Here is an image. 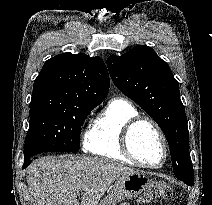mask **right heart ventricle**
<instances>
[{
    "instance_id": "right-heart-ventricle-1",
    "label": "right heart ventricle",
    "mask_w": 212,
    "mask_h": 205,
    "mask_svg": "<svg viewBox=\"0 0 212 205\" xmlns=\"http://www.w3.org/2000/svg\"><path fill=\"white\" fill-rule=\"evenodd\" d=\"M137 116L139 113L130 102L121 98L111 100L92 122L84 141L85 151L107 159L134 164L122 150L121 134L124 126Z\"/></svg>"
}]
</instances>
